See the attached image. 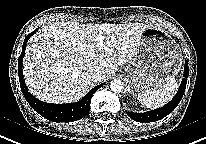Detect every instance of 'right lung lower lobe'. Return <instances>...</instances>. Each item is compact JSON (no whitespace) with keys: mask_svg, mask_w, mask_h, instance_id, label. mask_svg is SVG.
Segmentation results:
<instances>
[{"mask_svg":"<svg viewBox=\"0 0 206 144\" xmlns=\"http://www.w3.org/2000/svg\"><path fill=\"white\" fill-rule=\"evenodd\" d=\"M33 31L25 37L22 53L18 61V75L20 87L23 92V95L29 105L41 116L53 122H73L85 117L90 110V101L94 92L99 89L103 84H100L94 87L90 92H88L85 97L80 101L71 104H51L42 102L36 99L31 93L28 92V89L25 85L22 72V61L25 54L26 43L29 38L37 31Z\"/></svg>","mask_w":206,"mask_h":144,"instance_id":"right-lung-lower-lobe-1","label":"right lung lower lobe"}]
</instances>
